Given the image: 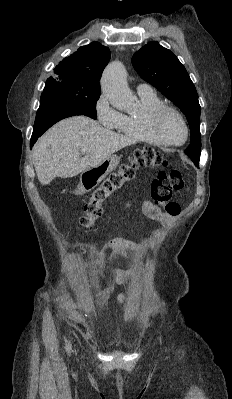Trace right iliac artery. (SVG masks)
Here are the masks:
<instances>
[{
	"label": "right iliac artery",
	"mask_w": 232,
	"mask_h": 399,
	"mask_svg": "<svg viewBox=\"0 0 232 399\" xmlns=\"http://www.w3.org/2000/svg\"><path fill=\"white\" fill-rule=\"evenodd\" d=\"M67 350H68V351L70 350V347H69V345H68V347H67Z\"/></svg>",
	"instance_id": "obj_1"
}]
</instances>
